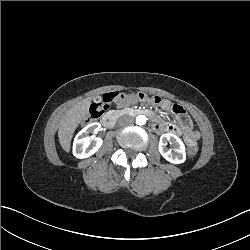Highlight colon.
I'll return each instance as SVG.
<instances>
[{"label":"colon","instance_id":"colon-1","mask_svg":"<svg viewBox=\"0 0 250 250\" xmlns=\"http://www.w3.org/2000/svg\"><path fill=\"white\" fill-rule=\"evenodd\" d=\"M137 100L140 101H150L151 103H162V98L161 95H150V97L144 93V92H139L135 95ZM126 99V96L119 92V91H113V92H108L104 94L102 101L98 103H93L90 108H89V118L87 119V123L91 122H97L106 112L108 109V106L112 103H120L123 102ZM174 113H176L179 117L180 123L184 126L187 127L189 124V119L186 115H184V110L182 107L175 105L173 107ZM188 143V154L193 156L197 152V144L196 141L192 139H187Z\"/></svg>","mask_w":250,"mask_h":250}]
</instances>
